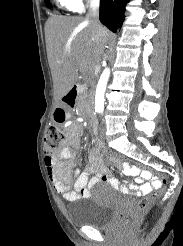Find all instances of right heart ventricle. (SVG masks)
Returning <instances> with one entry per match:
<instances>
[{
    "instance_id": "e07e8e85",
    "label": "right heart ventricle",
    "mask_w": 183,
    "mask_h": 246,
    "mask_svg": "<svg viewBox=\"0 0 183 246\" xmlns=\"http://www.w3.org/2000/svg\"><path fill=\"white\" fill-rule=\"evenodd\" d=\"M56 5L61 9H66L69 11L76 10V7L72 0H54Z\"/></svg>"
}]
</instances>
